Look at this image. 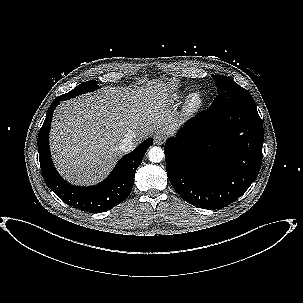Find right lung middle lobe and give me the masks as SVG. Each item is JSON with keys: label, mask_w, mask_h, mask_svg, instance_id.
I'll return each mask as SVG.
<instances>
[{"label": "right lung middle lobe", "mask_w": 303, "mask_h": 303, "mask_svg": "<svg viewBox=\"0 0 303 303\" xmlns=\"http://www.w3.org/2000/svg\"><path fill=\"white\" fill-rule=\"evenodd\" d=\"M98 88L99 87H98L96 81H87V82L79 84L73 90H71L70 92L63 94L61 96L64 97L66 100V99L73 98L75 96H78V95L86 93V92L94 91Z\"/></svg>", "instance_id": "obj_1"}]
</instances>
